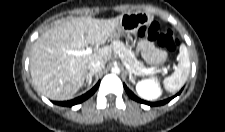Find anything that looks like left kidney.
Returning <instances> with one entry per match:
<instances>
[{
    "label": "left kidney",
    "instance_id": "obj_1",
    "mask_svg": "<svg viewBox=\"0 0 225 132\" xmlns=\"http://www.w3.org/2000/svg\"><path fill=\"white\" fill-rule=\"evenodd\" d=\"M138 95L145 100H153L158 98L162 91L154 80H141L136 84Z\"/></svg>",
    "mask_w": 225,
    "mask_h": 132
}]
</instances>
